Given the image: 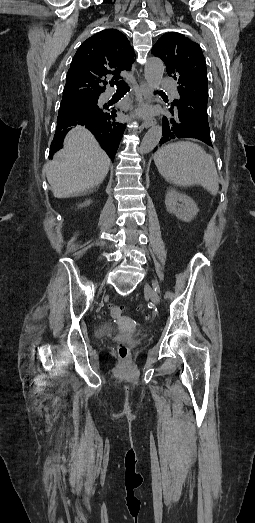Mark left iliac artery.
<instances>
[{
	"label": "left iliac artery",
	"mask_w": 255,
	"mask_h": 523,
	"mask_svg": "<svg viewBox=\"0 0 255 523\" xmlns=\"http://www.w3.org/2000/svg\"><path fill=\"white\" fill-rule=\"evenodd\" d=\"M153 287H154V290H155V291L160 292V288L155 287V286H153Z\"/></svg>",
	"instance_id": "1"
}]
</instances>
